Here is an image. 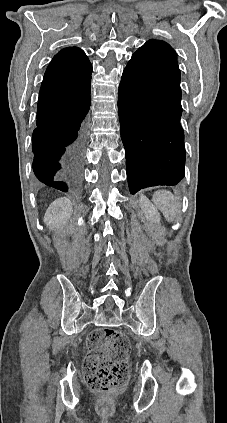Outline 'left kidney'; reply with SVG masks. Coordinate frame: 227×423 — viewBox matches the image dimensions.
<instances>
[{
	"instance_id": "5707ae66",
	"label": "left kidney",
	"mask_w": 227,
	"mask_h": 423,
	"mask_svg": "<svg viewBox=\"0 0 227 423\" xmlns=\"http://www.w3.org/2000/svg\"><path fill=\"white\" fill-rule=\"evenodd\" d=\"M139 204H141L142 211L148 219V221H154V223H160V213L158 210H156L155 206L149 202L148 198L146 196H143L141 194L139 198Z\"/></svg>"
}]
</instances>
